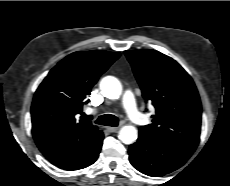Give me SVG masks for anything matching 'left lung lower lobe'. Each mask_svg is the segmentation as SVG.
<instances>
[{
  "label": "left lung lower lobe",
  "instance_id": "left-lung-lower-lobe-1",
  "mask_svg": "<svg viewBox=\"0 0 230 186\" xmlns=\"http://www.w3.org/2000/svg\"><path fill=\"white\" fill-rule=\"evenodd\" d=\"M196 147L166 142L139 132L129 147L130 163L138 171L153 177L163 176L181 167Z\"/></svg>",
  "mask_w": 230,
  "mask_h": 186
}]
</instances>
